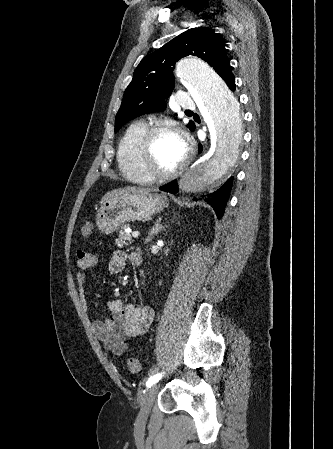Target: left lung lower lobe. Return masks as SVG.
<instances>
[{"label": "left lung lower lobe", "instance_id": "1", "mask_svg": "<svg viewBox=\"0 0 333 449\" xmlns=\"http://www.w3.org/2000/svg\"><path fill=\"white\" fill-rule=\"evenodd\" d=\"M223 80L226 82L227 86L234 91L235 90V77L232 74V72H228L224 77ZM233 177H230L219 189H217L214 192L205 194L200 196L199 199L194 200H201L202 198L205 199V201L210 204L213 209L216 212L217 217L220 219L224 213V209L229 197V193L232 187ZM162 191L170 192V193H177L178 192V184L177 181H173L169 184H166L164 186H161L159 188Z\"/></svg>", "mask_w": 333, "mask_h": 449}]
</instances>
